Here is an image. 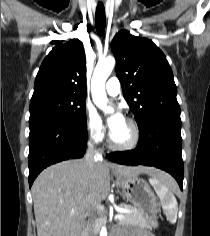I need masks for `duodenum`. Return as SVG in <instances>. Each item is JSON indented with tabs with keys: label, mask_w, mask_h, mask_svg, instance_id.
<instances>
[{
	"label": "duodenum",
	"mask_w": 210,
	"mask_h": 236,
	"mask_svg": "<svg viewBox=\"0 0 210 236\" xmlns=\"http://www.w3.org/2000/svg\"><path fill=\"white\" fill-rule=\"evenodd\" d=\"M77 236H84L83 231H80V232L77 234Z\"/></svg>",
	"instance_id": "410a0bca"
}]
</instances>
